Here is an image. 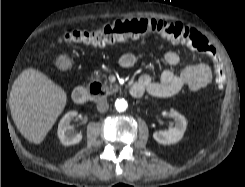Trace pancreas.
<instances>
[{"mask_svg":"<svg viewBox=\"0 0 245 187\" xmlns=\"http://www.w3.org/2000/svg\"><path fill=\"white\" fill-rule=\"evenodd\" d=\"M99 75H96L95 77H91L92 81L100 82ZM103 91L108 95L111 93H116L119 90L118 85H113L112 83L108 84V82L105 80L102 84Z\"/></svg>","mask_w":245,"mask_h":187,"instance_id":"1","label":"pancreas"}]
</instances>
